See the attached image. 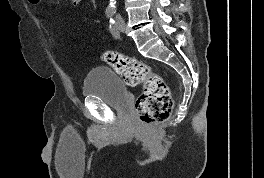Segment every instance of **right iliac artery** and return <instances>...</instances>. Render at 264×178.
Here are the masks:
<instances>
[{
	"instance_id": "right-iliac-artery-1",
	"label": "right iliac artery",
	"mask_w": 264,
	"mask_h": 178,
	"mask_svg": "<svg viewBox=\"0 0 264 178\" xmlns=\"http://www.w3.org/2000/svg\"><path fill=\"white\" fill-rule=\"evenodd\" d=\"M114 12L112 10L106 11L107 18H111L113 16Z\"/></svg>"
}]
</instances>
